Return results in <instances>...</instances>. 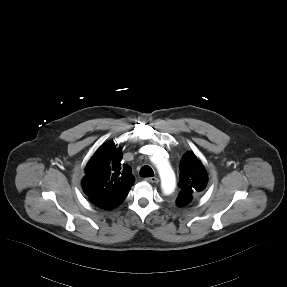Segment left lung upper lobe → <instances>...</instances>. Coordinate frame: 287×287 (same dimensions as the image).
Instances as JSON below:
<instances>
[{
    "label": "left lung upper lobe",
    "mask_w": 287,
    "mask_h": 287,
    "mask_svg": "<svg viewBox=\"0 0 287 287\" xmlns=\"http://www.w3.org/2000/svg\"><path fill=\"white\" fill-rule=\"evenodd\" d=\"M180 182L178 183L181 191L177 198V204L184 206L188 204L193 194L201 192L208 181L207 173L201 161L193 152H186L179 164Z\"/></svg>",
    "instance_id": "1"
}]
</instances>
